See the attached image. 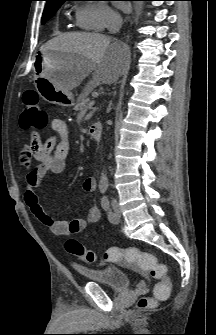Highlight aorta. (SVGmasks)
<instances>
[{
	"instance_id": "obj_1",
	"label": "aorta",
	"mask_w": 216,
	"mask_h": 335,
	"mask_svg": "<svg viewBox=\"0 0 216 335\" xmlns=\"http://www.w3.org/2000/svg\"><path fill=\"white\" fill-rule=\"evenodd\" d=\"M100 184L107 185L108 184V177L105 171H102L100 177Z\"/></svg>"
}]
</instances>
